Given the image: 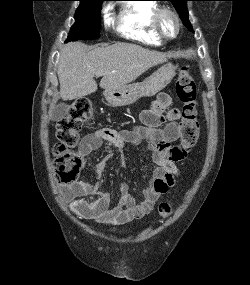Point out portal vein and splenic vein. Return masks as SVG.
I'll return each mask as SVG.
<instances>
[{
    "label": "portal vein and splenic vein",
    "instance_id": "portal-vein-and-splenic-vein-1",
    "mask_svg": "<svg viewBox=\"0 0 250 285\" xmlns=\"http://www.w3.org/2000/svg\"><path fill=\"white\" fill-rule=\"evenodd\" d=\"M98 76H101L102 74L101 73H99V74H97Z\"/></svg>",
    "mask_w": 250,
    "mask_h": 285
}]
</instances>
